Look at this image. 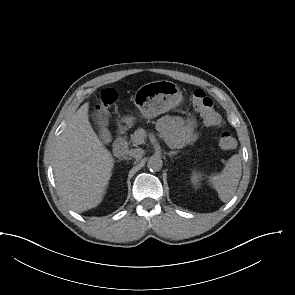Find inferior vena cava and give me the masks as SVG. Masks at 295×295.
<instances>
[{
    "mask_svg": "<svg viewBox=\"0 0 295 295\" xmlns=\"http://www.w3.org/2000/svg\"><path fill=\"white\" fill-rule=\"evenodd\" d=\"M129 156L131 157H134V158H141L144 154V150L142 149H131L129 152H128Z\"/></svg>",
    "mask_w": 295,
    "mask_h": 295,
    "instance_id": "602c4592",
    "label": "inferior vena cava"
}]
</instances>
